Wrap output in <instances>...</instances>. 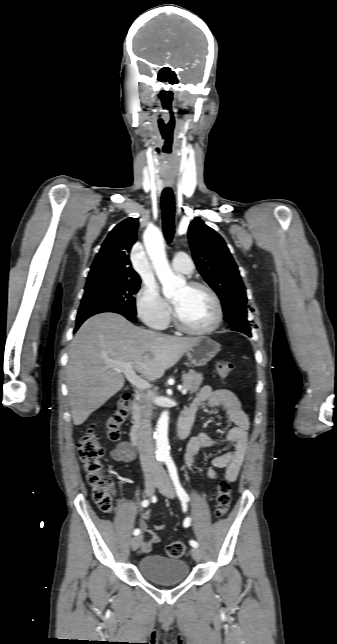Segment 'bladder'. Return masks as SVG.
I'll use <instances>...</instances> for the list:
<instances>
[{"label": "bladder", "instance_id": "1", "mask_svg": "<svg viewBox=\"0 0 337 644\" xmlns=\"http://www.w3.org/2000/svg\"><path fill=\"white\" fill-rule=\"evenodd\" d=\"M138 569L144 578L160 585L180 583L189 575V566L184 560L161 555L142 557Z\"/></svg>", "mask_w": 337, "mask_h": 644}]
</instances>
